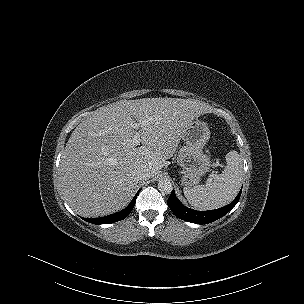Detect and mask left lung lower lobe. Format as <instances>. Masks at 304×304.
<instances>
[{"mask_svg":"<svg viewBox=\"0 0 304 304\" xmlns=\"http://www.w3.org/2000/svg\"><path fill=\"white\" fill-rule=\"evenodd\" d=\"M242 189L236 196V198L230 204L215 210L210 211H196L190 208L185 207L177 199L174 190L171 192V195L167 201V204L174 215L182 220L196 223V224H208L211 223L225 214H227L239 201Z\"/></svg>","mask_w":304,"mask_h":304,"instance_id":"1","label":"left lung lower lobe"}]
</instances>
